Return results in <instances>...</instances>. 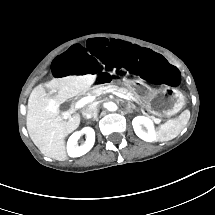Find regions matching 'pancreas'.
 <instances>
[{
	"mask_svg": "<svg viewBox=\"0 0 215 215\" xmlns=\"http://www.w3.org/2000/svg\"><path fill=\"white\" fill-rule=\"evenodd\" d=\"M114 90V91H117V92H120V93H123V94H128L130 93L131 96H133V94L131 92L128 91L127 88H124V87H119V86H116V85H113V84H108L107 86H104V85H96L94 86L90 91H89V94L90 95H95V96H100V95H103L107 92V90ZM136 103H138V100L136 99L135 100ZM128 105L131 106L132 108H135V105L132 103V101H128ZM142 112L144 113V111L142 110ZM157 123H160V119H157L155 117H152Z\"/></svg>",
	"mask_w": 215,
	"mask_h": 215,
	"instance_id": "pancreas-1",
	"label": "pancreas"
}]
</instances>
